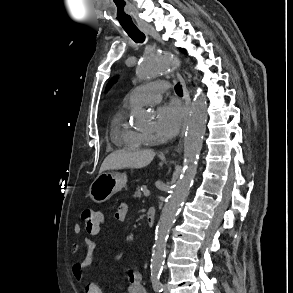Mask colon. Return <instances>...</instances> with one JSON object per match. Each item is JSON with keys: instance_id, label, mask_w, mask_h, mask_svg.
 I'll return each mask as SVG.
<instances>
[{"instance_id": "colon-1", "label": "colon", "mask_w": 293, "mask_h": 293, "mask_svg": "<svg viewBox=\"0 0 293 293\" xmlns=\"http://www.w3.org/2000/svg\"><path fill=\"white\" fill-rule=\"evenodd\" d=\"M81 220L86 229L96 230L101 223V212L86 208L81 212ZM93 292L99 293V290L94 289Z\"/></svg>"}]
</instances>
